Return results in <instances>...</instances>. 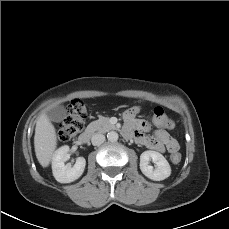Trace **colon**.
I'll return each mask as SVG.
<instances>
[{
	"instance_id": "1",
	"label": "colon",
	"mask_w": 229,
	"mask_h": 229,
	"mask_svg": "<svg viewBox=\"0 0 229 229\" xmlns=\"http://www.w3.org/2000/svg\"><path fill=\"white\" fill-rule=\"evenodd\" d=\"M87 117V110L84 101L74 99L68 106V115L64 121L59 125V138L63 142H69L81 133L85 128V121ZM168 126H173V122L166 117ZM168 150L171 152V160L177 164L181 161V154L178 152V145L176 143H169Z\"/></svg>"
}]
</instances>
